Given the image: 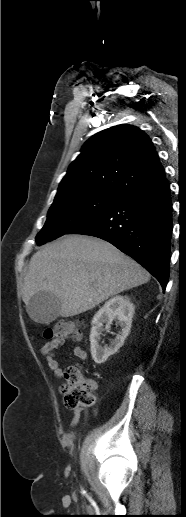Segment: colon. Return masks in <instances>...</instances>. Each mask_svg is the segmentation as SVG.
<instances>
[{"label":"colon","instance_id":"1","mask_svg":"<svg viewBox=\"0 0 186 517\" xmlns=\"http://www.w3.org/2000/svg\"><path fill=\"white\" fill-rule=\"evenodd\" d=\"M44 337L80 339L81 333L77 323L59 321L45 329ZM94 389L95 383L84 377L79 365H70L66 368L61 392L68 408L91 406L95 401Z\"/></svg>","mask_w":186,"mask_h":517}]
</instances>
